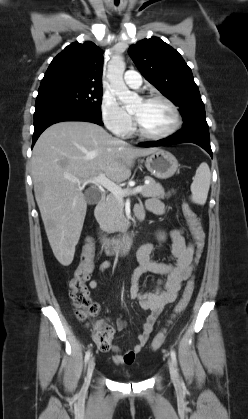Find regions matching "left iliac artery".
Masks as SVG:
<instances>
[{
	"label": "left iliac artery",
	"mask_w": 248,
	"mask_h": 419,
	"mask_svg": "<svg viewBox=\"0 0 248 419\" xmlns=\"http://www.w3.org/2000/svg\"><path fill=\"white\" fill-rule=\"evenodd\" d=\"M170 354H171L172 361H173L174 365L176 366L177 365V359H176L175 351L173 349H171ZM176 372H177V368H176Z\"/></svg>",
	"instance_id": "left-iliac-artery-1"
}]
</instances>
